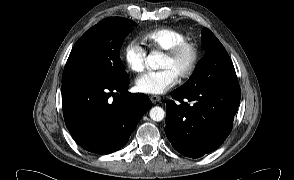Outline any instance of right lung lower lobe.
I'll use <instances>...</instances> for the list:
<instances>
[{
    "label": "right lung lower lobe",
    "instance_id": "right-lung-lower-lobe-1",
    "mask_svg": "<svg viewBox=\"0 0 294 180\" xmlns=\"http://www.w3.org/2000/svg\"><path fill=\"white\" fill-rule=\"evenodd\" d=\"M128 85L129 79L124 82L77 80L62 84L64 120L81 147L107 154L128 142L152 106L147 95L127 92Z\"/></svg>",
    "mask_w": 294,
    "mask_h": 180
}]
</instances>
